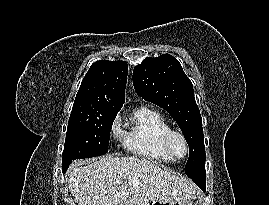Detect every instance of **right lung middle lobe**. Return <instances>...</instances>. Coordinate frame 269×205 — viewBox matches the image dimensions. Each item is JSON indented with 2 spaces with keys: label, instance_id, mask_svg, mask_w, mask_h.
Returning <instances> with one entry per match:
<instances>
[{
  "label": "right lung middle lobe",
  "instance_id": "obj_1",
  "mask_svg": "<svg viewBox=\"0 0 269 205\" xmlns=\"http://www.w3.org/2000/svg\"><path fill=\"white\" fill-rule=\"evenodd\" d=\"M116 113H90L72 110L66 133L62 162L96 157L108 152L110 131Z\"/></svg>",
  "mask_w": 269,
  "mask_h": 205
}]
</instances>
